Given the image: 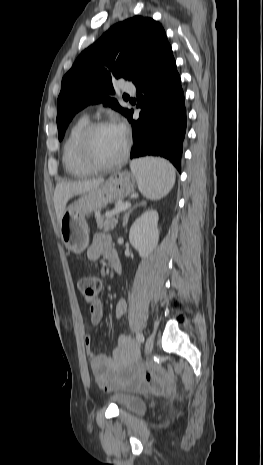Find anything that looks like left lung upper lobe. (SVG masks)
Masks as SVG:
<instances>
[{
    "label": "left lung upper lobe",
    "mask_w": 263,
    "mask_h": 465,
    "mask_svg": "<svg viewBox=\"0 0 263 465\" xmlns=\"http://www.w3.org/2000/svg\"><path fill=\"white\" fill-rule=\"evenodd\" d=\"M166 44L160 23L135 16L115 24L85 49L62 80L57 100L59 140L73 116L89 104L103 102L126 115L128 109L109 97L114 94L113 80L133 82Z\"/></svg>",
    "instance_id": "left-lung-upper-lobe-1"
}]
</instances>
